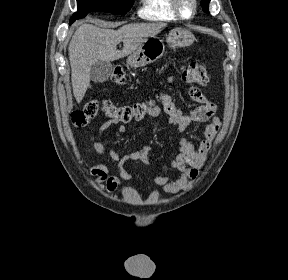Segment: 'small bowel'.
Returning a JSON list of instances; mask_svg holds the SVG:
<instances>
[{"label":"small bowel","instance_id":"c3829d8e","mask_svg":"<svg viewBox=\"0 0 288 280\" xmlns=\"http://www.w3.org/2000/svg\"><path fill=\"white\" fill-rule=\"evenodd\" d=\"M189 95L193 101L199 103L196 108L189 112H184L177 108L171 96L166 92L160 95L161 104L150 107L147 111V116L149 117H158L164 114L167 122L175 126L183 134L178 143L174 159L167 164L168 168L179 171L180 176L178 178L170 176L153 177L154 184L160 186L166 193H177L192 186L208 158L211 144L221 126V122L216 116V106L204 96L199 88L191 87ZM208 121L209 124L204 132L205 138L196 147L194 142L185 135L186 130L192 124ZM117 122V120L105 122L91 137V143L95 151L116 163L118 168L119 177L111 175L108 167L101 163H96L90 168L91 174L96 176V184L109 193H114L120 189L121 180L130 181L132 179L124 168L128 161L138 160L147 164L151 157V148L149 146H145L138 151L126 152L122 156L114 148L106 149L103 144L104 134ZM126 130V125L122 124L118 127L117 132L123 134Z\"/></svg>","mask_w":288,"mask_h":280}]
</instances>
